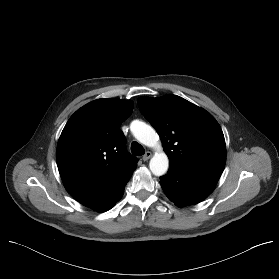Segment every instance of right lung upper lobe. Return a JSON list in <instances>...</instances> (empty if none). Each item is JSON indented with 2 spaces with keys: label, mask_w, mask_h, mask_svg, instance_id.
Returning <instances> with one entry per match:
<instances>
[{
  "label": "right lung upper lobe",
  "mask_w": 279,
  "mask_h": 279,
  "mask_svg": "<svg viewBox=\"0 0 279 279\" xmlns=\"http://www.w3.org/2000/svg\"><path fill=\"white\" fill-rule=\"evenodd\" d=\"M133 102L97 99L77 110L58 141L56 160L66 190L77 201L98 195L132 175L136 158L119 129Z\"/></svg>",
  "instance_id": "cb5924a9"
}]
</instances>
